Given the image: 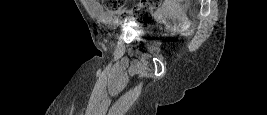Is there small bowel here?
I'll return each mask as SVG.
<instances>
[{
    "label": "small bowel",
    "instance_id": "c3829d8e",
    "mask_svg": "<svg viewBox=\"0 0 267 115\" xmlns=\"http://www.w3.org/2000/svg\"><path fill=\"white\" fill-rule=\"evenodd\" d=\"M87 3L92 10V12L100 19L109 20L111 16L106 13L101 5V3L97 0H87ZM178 6L172 1H166L162 5L158 6L156 9L157 13H164L166 11H176Z\"/></svg>",
    "mask_w": 267,
    "mask_h": 115
}]
</instances>
